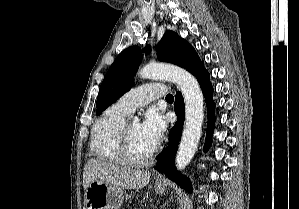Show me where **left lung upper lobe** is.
Instances as JSON below:
<instances>
[{"mask_svg":"<svg viewBox=\"0 0 299 209\" xmlns=\"http://www.w3.org/2000/svg\"><path fill=\"white\" fill-rule=\"evenodd\" d=\"M158 60L176 64L191 74L202 63L195 49L177 33L167 31L158 46ZM141 48L133 46L123 50L115 59L101 84L96 103L99 115L133 85V76L141 62ZM150 52V46L145 47Z\"/></svg>","mask_w":299,"mask_h":209,"instance_id":"obj_1","label":"left lung upper lobe"}]
</instances>
